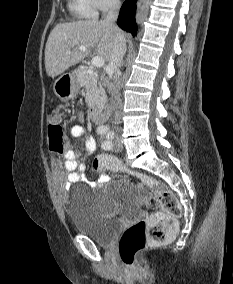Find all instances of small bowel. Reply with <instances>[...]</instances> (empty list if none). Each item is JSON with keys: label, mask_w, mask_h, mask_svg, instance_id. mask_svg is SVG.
Masks as SVG:
<instances>
[{"label": "small bowel", "mask_w": 233, "mask_h": 284, "mask_svg": "<svg viewBox=\"0 0 233 284\" xmlns=\"http://www.w3.org/2000/svg\"><path fill=\"white\" fill-rule=\"evenodd\" d=\"M70 133L73 137L81 138L79 152L69 150L63 154V161L53 159L51 163L54 184L61 192H65L69 185L84 180L86 163L83 159H79V154L89 156L96 149L95 139L88 135L81 125H73ZM107 180L108 177L102 176L99 184Z\"/></svg>", "instance_id": "c3829d8e"}]
</instances>
